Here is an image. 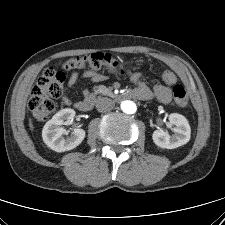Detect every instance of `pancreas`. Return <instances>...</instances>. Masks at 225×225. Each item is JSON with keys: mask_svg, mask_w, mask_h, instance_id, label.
I'll use <instances>...</instances> for the list:
<instances>
[{"mask_svg": "<svg viewBox=\"0 0 225 225\" xmlns=\"http://www.w3.org/2000/svg\"><path fill=\"white\" fill-rule=\"evenodd\" d=\"M94 92H95V93L105 94V95L111 94L110 89L106 88V87L103 86V85L94 87Z\"/></svg>", "mask_w": 225, "mask_h": 225, "instance_id": "1", "label": "pancreas"}]
</instances>
